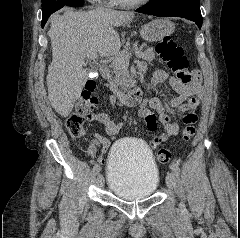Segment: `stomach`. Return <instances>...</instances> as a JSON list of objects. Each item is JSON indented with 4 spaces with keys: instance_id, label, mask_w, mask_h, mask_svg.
Instances as JSON below:
<instances>
[{
    "instance_id": "1",
    "label": "stomach",
    "mask_w": 240,
    "mask_h": 238,
    "mask_svg": "<svg viewBox=\"0 0 240 238\" xmlns=\"http://www.w3.org/2000/svg\"><path fill=\"white\" fill-rule=\"evenodd\" d=\"M174 29L175 24L170 20L157 18L145 24L140 31V35L145 41L156 42L171 35Z\"/></svg>"
}]
</instances>
